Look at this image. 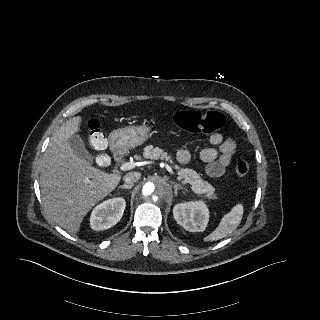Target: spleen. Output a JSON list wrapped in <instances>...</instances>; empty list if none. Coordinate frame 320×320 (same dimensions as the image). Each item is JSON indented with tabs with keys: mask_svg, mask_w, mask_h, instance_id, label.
<instances>
[{
	"mask_svg": "<svg viewBox=\"0 0 320 320\" xmlns=\"http://www.w3.org/2000/svg\"><path fill=\"white\" fill-rule=\"evenodd\" d=\"M243 212V205L236 204L230 212L223 215L218 227L204 241H216L230 235L241 223Z\"/></svg>",
	"mask_w": 320,
	"mask_h": 320,
	"instance_id": "spleen-1",
	"label": "spleen"
}]
</instances>
